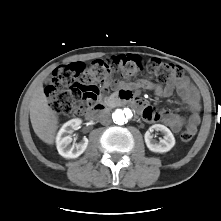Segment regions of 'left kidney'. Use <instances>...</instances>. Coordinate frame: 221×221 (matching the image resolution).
I'll use <instances>...</instances> for the list:
<instances>
[{
	"label": "left kidney",
	"instance_id": "1",
	"mask_svg": "<svg viewBox=\"0 0 221 221\" xmlns=\"http://www.w3.org/2000/svg\"><path fill=\"white\" fill-rule=\"evenodd\" d=\"M160 131L163 133V139H161L158 143L153 139L152 132ZM145 143L149 150L157 153H164L171 150V148L175 145V138L172 132L164 125L154 124L152 125L148 131H146L144 135Z\"/></svg>",
	"mask_w": 221,
	"mask_h": 221
}]
</instances>
